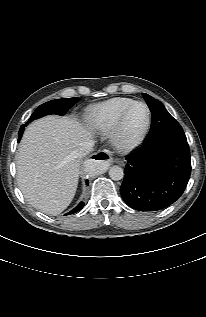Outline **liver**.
I'll return each instance as SVG.
<instances>
[{
    "label": "liver",
    "mask_w": 206,
    "mask_h": 317,
    "mask_svg": "<svg viewBox=\"0 0 206 317\" xmlns=\"http://www.w3.org/2000/svg\"><path fill=\"white\" fill-rule=\"evenodd\" d=\"M92 134L74 119L52 115L26 128L17 154V181L29 204L51 215L69 206L80 173L77 149Z\"/></svg>",
    "instance_id": "obj_1"
}]
</instances>
